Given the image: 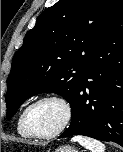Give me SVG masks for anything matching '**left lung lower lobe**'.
I'll list each match as a JSON object with an SVG mask.
<instances>
[{"instance_id":"left-lung-lower-lobe-1","label":"left lung lower lobe","mask_w":123,"mask_h":152,"mask_svg":"<svg viewBox=\"0 0 123 152\" xmlns=\"http://www.w3.org/2000/svg\"><path fill=\"white\" fill-rule=\"evenodd\" d=\"M71 109L59 138L84 135L123 147V1L85 62Z\"/></svg>"}]
</instances>
